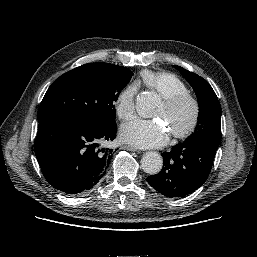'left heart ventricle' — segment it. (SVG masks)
Masks as SVG:
<instances>
[{"mask_svg": "<svg viewBox=\"0 0 257 257\" xmlns=\"http://www.w3.org/2000/svg\"><path fill=\"white\" fill-rule=\"evenodd\" d=\"M193 113L192 105L185 102L174 110H167L163 103L159 105L154 117L161 118L171 134L181 130L191 119Z\"/></svg>", "mask_w": 257, "mask_h": 257, "instance_id": "1", "label": "left heart ventricle"}]
</instances>
